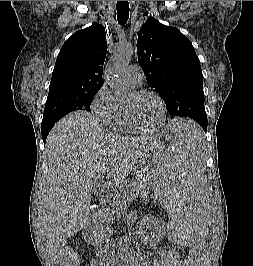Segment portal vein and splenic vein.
Here are the masks:
<instances>
[{"label": "portal vein and splenic vein", "instance_id": "obj_1", "mask_svg": "<svg viewBox=\"0 0 253 266\" xmlns=\"http://www.w3.org/2000/svg\"><path fill=\"white\" fill-rule=\"evenodd\" d=\"M105 186H106L107 188H109V186H108V185H106V184H105Z\"/></svg>", "mask_w": 253, "mask_h": 266}]
</instances>
